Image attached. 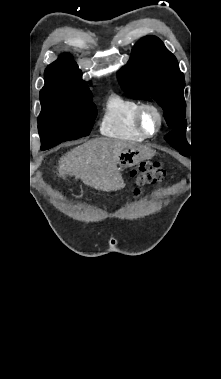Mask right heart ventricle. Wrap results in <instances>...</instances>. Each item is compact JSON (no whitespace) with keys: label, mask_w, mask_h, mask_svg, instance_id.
Listing matches in <instances>:
<instances>
[{"label":"right heart ventricle","mask_w":221,"mask_h":379,"mask_svg":"<svg viewBox=\"0 0 221 379\" xmlns=\"http://www.w3.org/2000/svg\"><path fill=\"white\" fill-rule=\"evenodd\" d=\"M141 102L113 95L108 99L100 124L103 134L115 138L141 141L145 137L136 125V113Z\"/></svg>","instance_id":"e07e8e85"}]
</instances>
